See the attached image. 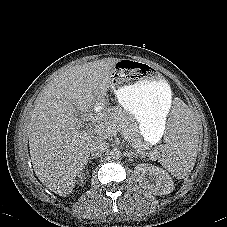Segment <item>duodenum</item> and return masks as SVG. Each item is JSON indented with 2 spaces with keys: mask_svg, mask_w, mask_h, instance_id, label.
<instances>
[{
  "mask_svg": "<svg viewBox=\"0 0 227 227\" xmlns=\"http://www.w3.org/2000/svg\"><path fill=\"white\" fill-rule=\"evenodd\" d=\"M103 116V113L101 111H97L91 115V121L93 123L98 122Z\"/></svg>",
  "mask_w": 227,
  "mask_h": 227,
  "instance_id": "1",
  "label": "duodenum"
}]
</instances>
